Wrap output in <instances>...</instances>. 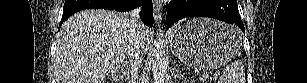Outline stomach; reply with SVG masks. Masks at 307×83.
Segmentation results:
<instances>
[{
  "instance_id": "0dacf381",
  "label": "stomach",
  "mask_w": 307,
  "mask_h": 83,
  "mask_svg": "<svg viewBox=\"0 0 307 83\" xmlns=\"http://www.w3.org/2000/svg\"><path fill=\"white\" fill-rule=\"evenodd\" d=\"M241 33L232 25L194 18L170 32L174 56L192 68L208 71L229 62L239 51Z\"/></svg>"
}]
</instances>
